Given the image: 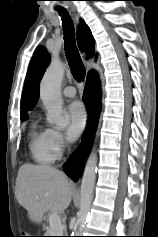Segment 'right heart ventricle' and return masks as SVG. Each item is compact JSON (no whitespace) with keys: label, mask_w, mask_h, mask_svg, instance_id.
I'll return each mask as SVG.
<instances>
[{"label":"right heart ventricle","mask_w":158,"mask_h":237,"mask_svg":"<svg viewBox=\"0 0 158 237\" xmlns=\"http://www.w3.org/2000/svg\"><path fill=\"white\" fill-rule=\"evenodd\" d=\"M28 137L32 158L40 164L53 163L57 156L50 146L49 129L43 128L37 122H32Z\"/></svg>","instance_id":"e07e8e85"}]
</instances>
